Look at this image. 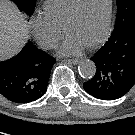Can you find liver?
I'll list each match as a JSON object with an SVG mask.
<instances>
[{
	"label": "liver",
	"mask_w": 135,
	"mask_h": 135,
	"mask_svg": "<svg viewBox=\"0 0 135 135\" xmlns=\"http://www.w3.org/2000/svg\"><path fill=\"white\" fill-rule=\"evenodd\" d=\"M28 27L18 7L0 0V61L15 55L25 44Z\"/></svg>",
	"instance_id": "liver-1"
}]
</instances>
